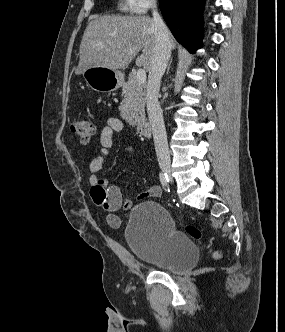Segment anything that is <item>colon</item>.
<instances>
[{"instance_id":"1","label":"colon","mask_w":285,"mask_h":332,"mask_svg":"<svg viewBox=\"0 0 285 332\" xmlns=\"http://www.w3.org/2000/svg\"><path fill=\"white\" fill-rule=\"evenodd\" d=\"M71 131L82 143L85 144L89 143L95 135L94 126L88 120L82 118H77L72 121ZM186 232L194 239H200L202 235L201 231L193 225L186 226ZM215 256L218 257L219 254H216Z\"/></svg>"}]
</instances>
